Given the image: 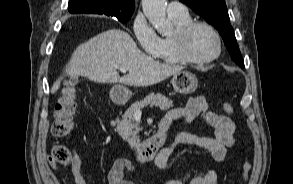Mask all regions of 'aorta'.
<instances>
[{"label":"aorta","mask_w":293,"mask_h":184,"mask_svg":"<svg viewBox=\"0 0 293 184\" xmlns=\"http://www.w3.org/2000/svg\"><path fill=\"white\" fill-rule=\"evenodd\" d=\"M142 8L149 22L160 34H165L172 29L166 18V0H142Z\"/></svg>","instance_id":"1"}]
</instances>
